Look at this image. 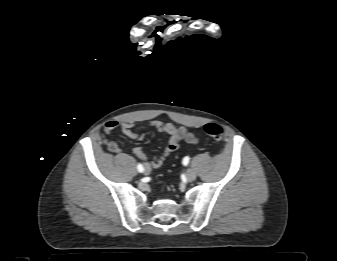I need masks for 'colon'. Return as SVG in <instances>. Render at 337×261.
<instances>
[{"label": "colon", "instance_id": "colon-1", "mask_svg": "<svg viewBox=\"0 0 337 261\" xmlns=\"http://www.w3.org/2000/svg\"><path fill=\"white\" fill-rule=\"evenodd\" d=\"M205 133L216 141H221L223 138V129L216 123H207L204 126Z\"/></svg>", "mask_w": 337, "mask_h": 261}]
</instances>
